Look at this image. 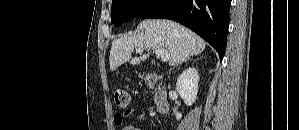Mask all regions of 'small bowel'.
<instances>
[{"label": "small bowel", "mask_w": 299, "mask_h": 130, "mask_svg": "<svg viewBox=\"0 0 299 130\" xmlns=\"http://www.w3.org/2000/svg\"><path fill=\"white\" fill-rule=\"evenodd\" d=\"M133 113H134L133 109H128L123 113L117 112L114 115V123L118 126L122 125L125 118L131 116ZM122 130H141V129L136 125H126V126L123 127Z\"/></svg>", "instance_id": "obj_1"}]
</instances>
